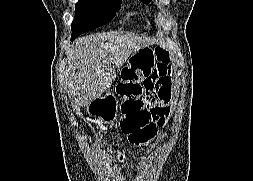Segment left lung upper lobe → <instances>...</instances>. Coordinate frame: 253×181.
<instances>
[{"mask_svg":"<svg viewBox=\"0 0 253 181\" xmlns=\"http://www.w3.org/2000/svg\"><path fill=\"white\" fill-rule=\"evenodd\" d=\"M140 1H142V2H144V3H148V2H150L151 0H140Z\"/></svg>","mask_w":253,"mask_h":181,"instance_id":"left-lung-upper-lobe-1","label":"left lung upper lobe"}]
</instances>
